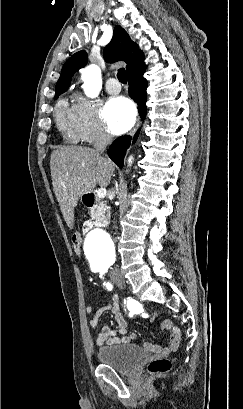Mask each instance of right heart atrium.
<instances>
[{
    "instance_id": "1",
    "label": "right heart atrium",
    "mask_w": 243,
    "mask_h": 409,
    "mask_svg": "<svg viewBox=\"0 0 243 409\" xmlns=\"http://www.w3.org/2000/svg\"><path fill=\"white\" fill-rule=\"evenodd\" d=\"M74 125L79 140L86 143H104L110 140L95 103L78 96L74 104Z\"/></svg>"
}]
</instances>
